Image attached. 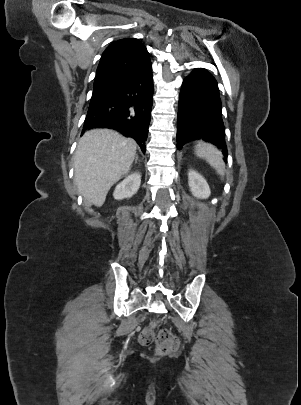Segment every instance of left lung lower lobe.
Here are the masks:
<instances>
[{"mask_svg":"<svg viewBox=\"0 0 301 405\" xmlns=\"http://www.w3.org/2000/svg\"><path fill=\"white\" fill-rule=\"evenodd\" d=\"M203 140L227 158L225 128L218 84L204 68L194 69L182 84L177 119V146Z\"/></svg>","mask_w":301,"mask_h":405,"instance_id":"0a47b994","label":"left lung lower lobe"}]
</instances>
